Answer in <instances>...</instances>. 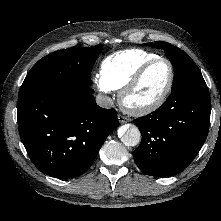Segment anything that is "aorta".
Wrapping results in <instances>:
<instances>
[{
    "mask_svg": "<svg viewBox=\"0 0 221 221\" xmlns=\"http://www.w3.org/2000/svg\"><path fill=\"white\" fill-rule=\"evenodd\" d=\"M119 137L126 146H136L141 141V132L136 125L126 124L118 131Z\"/></svg>",
    "mask_w": 221,
    "mask_h": 221,
    "instance_id": "762f6f07",
    "label": "aorta"
}]
</instances>
